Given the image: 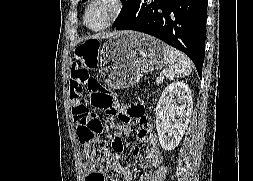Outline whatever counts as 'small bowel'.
Instances as JSON below:
<instances>
[{
	"label": "small bowel",
	"instance_id": "c3829d8e",
	"mask_svg": "<svg viewBox=\"0 0 253 181\" xmlns=\"http://www.w3.org/2000/svg\"><path fill=\"white\" fill-rule=\"evenodd\" d=\"M75 61L71 70L70 95L72 99V111L74 114V98L87 91L90 81L89 73L94 62ZM119 122L115 126L114 132L109 134L113 144L120 147L117 136L128 125H134L139 128L137 133V142L133 146L131 153L134 158H141L140 167L147 170L140 177V181H151L153 172L163 163V155L157 143L156 136L152 133L151 125L145 118V110L141 103L131 105H118ZM142 147H146V152L142 155ZM117 148V151L119 149ZM112 171L121 174L124 181H132L133 171L122 166L118 158L107 159L103 167H91L88 163L84 166L85 181H115L108 178L107 172Z\"/></svg>",
	"mask_w": 253,
	"mask_h": 181
}]
</instances>
